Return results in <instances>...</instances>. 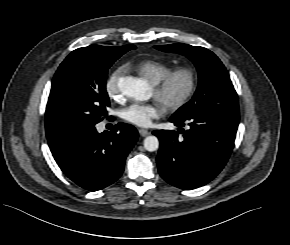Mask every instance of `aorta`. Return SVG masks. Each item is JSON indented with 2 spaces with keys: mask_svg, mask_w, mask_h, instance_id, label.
I'll use <instances>...</instances> for the list:
<instances>
[{
  "mask_svg": "<svg viewBox=\"0 0 290 245\" xmlns=\"http://www.w3.org/2000/svg\"><path fill=\"white\" fill-rule=\"evenodd\" d=\"M118 86L122 94L139 101L148 100L151 95L147 81L141 78H121ZM144 148L149 152L156 151L159 148L158 138L153 135L146 137L144 139Z\"/></svg>",
  "mask_w": 290,
  "mask_h": 245,
  "instance_id": "obj_1",
  "label": "aorta"
}]
</instances>
